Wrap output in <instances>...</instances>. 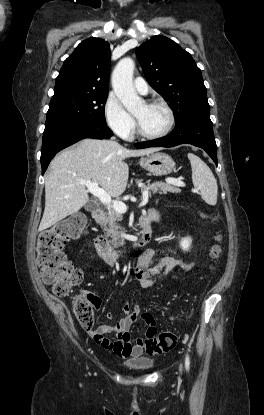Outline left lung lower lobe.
Listing matches in <instances>:
<instances>
[{
  "instance_id": "0a47b994",
  "label": "left lung lower lobe",
  "mask_w": 264,
  "mask_h": 415,
  "mask_svg": "<svg viewBox=\"0 0 264 415\" xmlns=\"http://www.w3.org/2000/svg\"><path fill=\"white\" fill-rule=\"evenodd\" d=\"M180 144H192L200 147L217 161V146L213 134V124L210 119V110L193 111L185 115L176 123L174 130L167 136L137 143L138 149L148 147H174Z\"/></svg>"
}]
</instances>
